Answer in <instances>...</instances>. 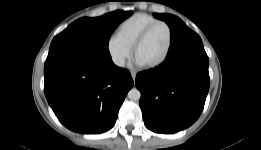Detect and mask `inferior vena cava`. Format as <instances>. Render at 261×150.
<instances>
[{"mask_svg": "<svg viewBox=\"0 0 261 150\" xmlns=\"http://www.w3.org/2000/svg\"><path fill=\"white\" fill-rule=\"evenodd\" d=\"M114 63L117 66L123 67L125 65V60L123 58H116L114 59Z\"/></svg>", "mask_w": 261, "mask_h": 150, "instance_id": "inferior-vena-cava-1", "label": "inferior vena cava"}]
</instances>
